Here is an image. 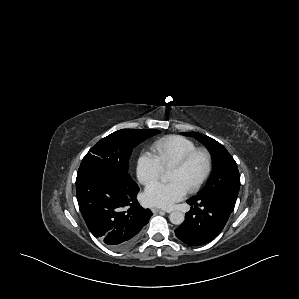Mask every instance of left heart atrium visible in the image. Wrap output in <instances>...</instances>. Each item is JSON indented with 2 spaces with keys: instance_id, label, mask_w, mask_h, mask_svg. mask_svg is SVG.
Wrapping results in <instances>:
<instances>
[{
  "instance_id": "39dd6f15",
  "label": "left heart atrium",
  "mask_w": 299,
  "mask_h": 299,
  "mask_svg": "<svg viewBox=\"0 0 299 299\" xmlns=\"http://www.w3.org/2000/svg\"><path fill=\"white\" fill-rule=\"evenodd\" d=\"M187 189L178 181L169 183L154 182L146 187L143 201L149 206L169 209L182 200Z\"/></svg>"
}]
</instances>
